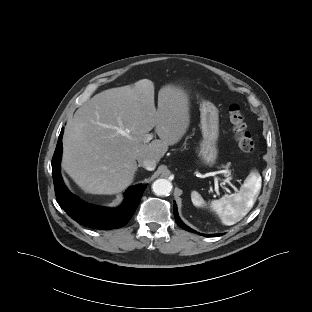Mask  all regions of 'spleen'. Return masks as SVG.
<instances>
[{"label":"spleen","instance_id":"obj_1","mask_svg":"<svg viewBox=\"0 0 312 312\" xmlns=\"http://www.w3.org/2000/svg\"><path fill=\"white\" fill-rule=\"evenodd\" d=\"M261 187V177L258 173L253 174L245 187L238 193L224 195L220 200L212 203V208L221 217L225 225H233L239 222L252 209ZM192 202L195 206H203L204 200L199 193L193 191Z\"/></svg>","mask_w":312,"mask_h":312}]
</instances>
